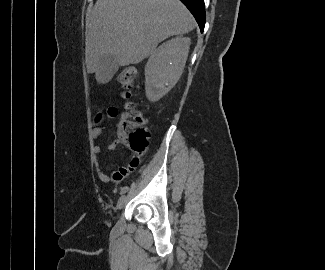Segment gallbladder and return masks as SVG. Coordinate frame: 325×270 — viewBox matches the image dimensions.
<instances>
[{
	"label": "gallbladder",
	"instance_id": "obj_1",
	"mask_svg": "<svg viewBox=\"0 0 325 270\" xmlns=\"http://www.w3.org/2000/svg\"><path fill=\"white\" fill-rule=\"evenodd\" d=\"M102 70L100 74L111 78L118 70L119 66L112 55H106L101 59Z\"/></svg>",
	"mask_w": 325,
	"mask_h": 270
}]
</instances>
